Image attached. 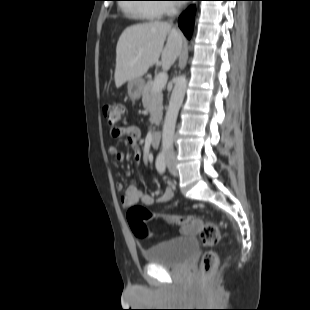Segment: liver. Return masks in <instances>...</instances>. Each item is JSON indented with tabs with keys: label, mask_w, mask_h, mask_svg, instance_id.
I'll use <instances>...</instances> for the list:
<instances>
[{
	"label": "liver",
	"mask_w": 310,
	"mask_h": 310,
	"mask_svg": "<svg viewBox=\"0 0 310 310\" xmlns=\"http://www.w3.org/2000/svg\"><path fill=\"white\" fill-rule=\"evenodd\" d=\"M182 45L181 33L167 22L154 21L127 27L116 46V87L132 79H141L151 66L158 63L160 55L163 69L168 70L179 56Z\"/></svg>",
	"instance_id": "liver-1"
}]
</instances>
